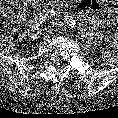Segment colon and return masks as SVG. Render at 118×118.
Masks as SVG:
<instances>
[{
	"instance_id": "1",
	"label": "colon",
	"mask_w": 118,
	"mask_h": 118,
	"mask_svg": "<svg viewBox=\"0 0 118 118\" xmlns=\"http://www.w3.org/2000/svg\"><path fill=\"white\" fill-rule=\"evenodd\" d=\"M22 9V0H0V13H3L7 18L17 17Z\"/></svg>"
}]
</instances>
